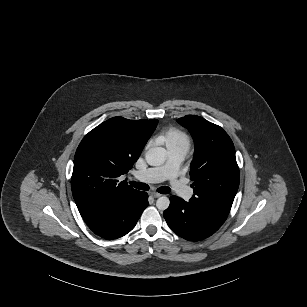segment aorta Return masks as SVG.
Returning <instances> with one entry per match:
<instances>
[{"label": "aorta", "mask_w": 307, "mask_h": 307, "mask_svg": "<svg viewBox=\"0 0 307 307\" xmlns=\"http://www.w3.org/2000/svg\"><path fill=\"white\" fill-rule=\"evenodd\" d=\"M167 159L166 149L164 147H153L147 151L146 161L152 166H161ZM170 200L166 196H161L156 201V207L159 210H166L169 207Z\"/></svg>", "instance_id": "762f6f07"}]
</instances>
